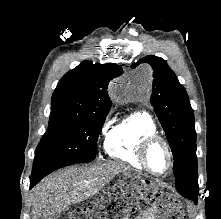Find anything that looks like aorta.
I'll return each instance as SVG.
<instances>
[{
  "label": "aorta",
  "mask_w": 221,
  "mask_h": 219,
  "mask_svg": "<svg viewBox=\"0 0 221 219\" xmlns=\"http://www.w3.org/2000/svg\"><path fill=\"white\" fill-rule=\"evenodd\" d=\"M134 78L141 87H147L150 85L152 72L149 68H141L136 72Z\"/></svg>",
  "instance_id": "762f6f07"
}]
</instances>
